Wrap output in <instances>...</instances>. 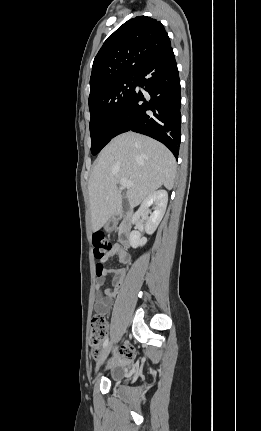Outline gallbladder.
I'll use <instances>...</instances> for the list:
<instances>
[{"instance_id": "obj_1", "label": "gallbladder", "mask_w": 261, "mask_h": 431, "mask_svg": "<svg viewBox=\"0 0 261 431\" xmlns=\"http://www.w3.org/2000/svg\"><path fill=\"white\" fill-rule=\"evenodd\" d=\"M122 209L123 212H126L129 209V203L126 198H123L122 200Z\"/></svg>"}]
</instances>
